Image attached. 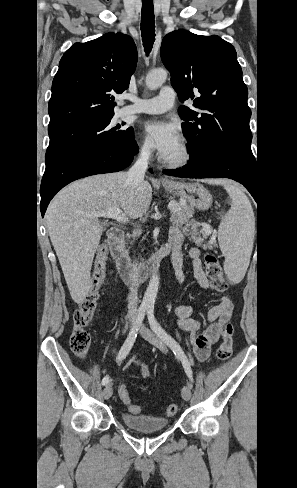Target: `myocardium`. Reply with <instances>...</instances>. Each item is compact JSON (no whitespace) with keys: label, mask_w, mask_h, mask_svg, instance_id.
Here are the masks:
<instances>
[{"label":"myocardium","mask_w":297,"mask_h":488,"mask_svg":"<svg viewBox=\"0 0 297 488\" xmlns=\"http://www.w3.org/2000/svg\"><path fill=\"white\" fill-rule=\"evenodd\" d=\"M180 143H181V149H182L180 157H178L176 159L164 158L163 164L166 167L171 168V169H178V168L185 167L186 165H188L191 162L192 156H193L191 143L185 137L180 138Z\"/></svg>","instance_id":"myocardium-1"}]
</instances>
